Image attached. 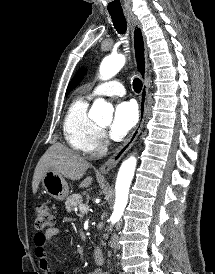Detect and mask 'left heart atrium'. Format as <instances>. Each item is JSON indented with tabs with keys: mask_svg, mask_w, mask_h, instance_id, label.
<instances>
[{
	"mask_svg": "<svg viewBox=\"0 0 215 274\" xmlns=\"http://www.w3.org/2000/svg\"><path fill=\"white\" fill-rule=\"evenodd\" d=\"M138 110L133 102H122L114 111L113 122L110 128V136L113 140H122L136 125Z\"/></svg>",
	"mask_w": 215,
	"mask_h": 274,
	"instance_id": "obj_1",
	"label": "left heart atrium"
}]
</instances>
